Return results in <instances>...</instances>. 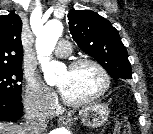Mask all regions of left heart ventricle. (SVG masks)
<instances>
[{
    "label": "left heart ventricle",
    "mask_w": 153,
    "mask_h": 134,
    "mask_svg": "<svg viewBox=\"0 0 153 134\" xmlns=\"http://www.w3.org/2000/svg\"><path fill=\"white\" fill-rule=\"evenodd\" d=\"M103 80L98 70L89 64L73 70L63 71L57 80V86L69 99L80 100L100 90Z\"/></svg>",
    "instance_id": "b2bd125f"
}]
</instances>
